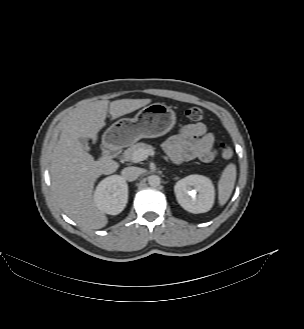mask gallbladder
Returning <instances> with one entry per match:
<instances>
[{"label": "gallbladder", "mask_w": 304, "mask_h": 329, "mask_svg": "<svg viewBox=\"0 0 304 329\" xmlns=\"http://www.w3.org/2000/svg\"><path fill=\"white\" fill-rule=\"evenodd\" d=\"M79 142L82 146V148L85 150V151H90V147L88 145V139L85 138V137H80L79 139Z\"/></svg>", "instance_id": "obj_1"}]
</instances>
